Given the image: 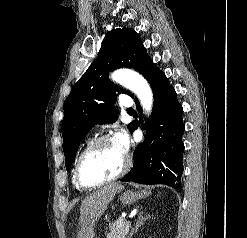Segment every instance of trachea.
I'll list each match as a JSON object with an SVG mask.
<instances>
[{
  "label": "trachea",
  "instance_id": "1",
  "mask_svg": "<svg viewBox=\"0 0 247 238\" xmlns=\"http://www.w3.org/2000/svg\"><path fill=\"white\" fill-rule=\"evenodd\" d=\"M129 110H130V111H133V109H132V108H130Z\"/></svg>",
  "mask_w": 247,
  "mask_h": 238
}]
</instances>
